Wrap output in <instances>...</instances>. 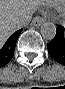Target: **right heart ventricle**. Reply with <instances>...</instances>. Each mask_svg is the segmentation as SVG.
Listing matches in <instances>:
<instances>
[{
    "instance_id": "right-heart-ventricle-1",
    "label": "right heart ventricle",
    "mask_w": 65,
    "mask_h": 89,
    "mask_svg": "<svg viewBox=\"0 0 65 89\" xmlns=\"http://www.w3.org/2000/svg\"><path fill=\"white\" fill-rule=\"evenodd\" d=\"M58 0H43L41 1L42 4L47 5V6H55L58 4Z\"/></svg>"
}]
</instances>
